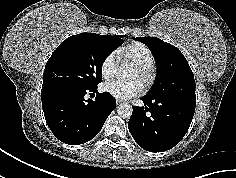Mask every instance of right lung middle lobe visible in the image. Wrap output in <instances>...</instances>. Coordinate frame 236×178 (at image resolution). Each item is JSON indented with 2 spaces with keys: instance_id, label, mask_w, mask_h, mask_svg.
Instances as JSON below:
<instances>
[{
  "instance_id": "right-lung-middle-lobe-1",
  "label": "right lung middle lobe",
  "mask_w": 236,
  "mask_h": 178,
  "mask_svg": "<svg viewBox=\"0 0 236 178\" xmlns=\"http://www.w3.org/2000/svg\"><path fill=\"white\" fill-rule=\"evenodd\" d=\"M122 37L95 33L68 37L47 61L42 87L97 88L102 82L103 62L108 54L124 42Z\"/></svg>"
}]
</instances>
